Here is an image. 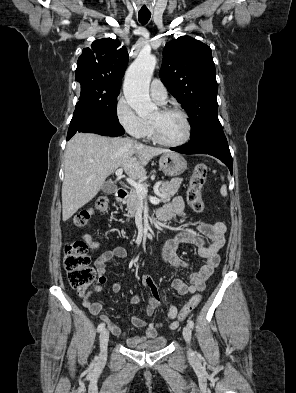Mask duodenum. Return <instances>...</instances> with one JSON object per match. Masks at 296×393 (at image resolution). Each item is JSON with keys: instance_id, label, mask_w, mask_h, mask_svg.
I'll return each instance as SVG.
<instances>
[{"instance_id": "1", "label": "duodenum", "mask_w": 296, "mask_h": 393, "mask_svg": "<svg viewBox=\"0 0 296 393\" xmlns=\"http://www.w3.org/2000/svg\"><path fill=\"white\" fill-rule=\"evenodd\" d=\"M127 196H128V192H127V190L124 189V188H119V189L116 191V198H117V200H119V201L125 200V199L127 198Z\"/></svg>"}]
</instances>
